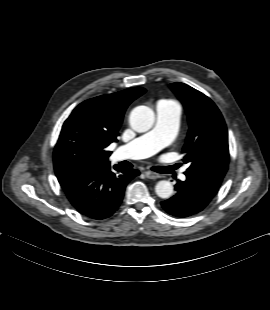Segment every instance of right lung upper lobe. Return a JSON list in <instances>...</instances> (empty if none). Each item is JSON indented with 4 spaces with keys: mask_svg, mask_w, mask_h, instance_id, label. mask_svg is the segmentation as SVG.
<instances>
[{
    "mask_svg": "<svg viewBox=\"0 0 270 310\" xmlns=\"http://www.w3.org/2000/svg\"><path fill=\"white\" fill-rule=\"evenodd\" d=\"M134 87L79 104L64 122L53 160L56 176L109 166L111 151L128 105L145 93Z\"/></svg>",
    "mask_w": 270,
    "mask_h": 310,
    "instance_id": "cb5924a9",
    "label": "right lung upper lobe"
}]
</instances>
